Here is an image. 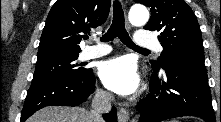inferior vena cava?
<instances>
[{
	"label": "inferior vena cava",
	"mask_w": 221,
	"mask_h": 122,
	"mask_svg": "<svg viewBox=\"0 0 221 122\" xmlns=\"http://www.w3.org/2000/svg\"><path fill=\"white\" fill-rule=\"evenodd\" d=\"M112 96L104 91L97 90L92 100V115L96 122H102V114L111 110Z\"/></svg>",
	"instance_id": "1"
}]
</instances>
